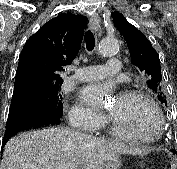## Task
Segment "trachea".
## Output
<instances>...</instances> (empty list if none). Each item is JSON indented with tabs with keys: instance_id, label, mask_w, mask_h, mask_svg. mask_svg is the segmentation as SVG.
I'll return each mask as SVG.
<instances>
[{
	"instance_id": "3493384b",
	"label": "trachea",
	"mask_w": 177,
	"mask_h": 169,
	"mask_svg": "<svg viewBox=\"0 0 177 169\" xmlns=\"http://www.w3.org/2000/svg\"><path fill=\"white\" fill-rule=\"evenodd\" d=\"M86 48L88 51H92L95 46V38L93 33L88 30L85 35Z\"/></svg>"
}]
</instances>
